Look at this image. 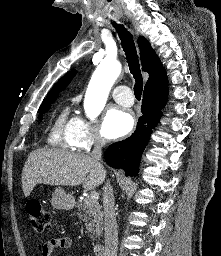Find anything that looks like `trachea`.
I'll use <instances>...</instances> for the list:
<instances>
[{"label": "trachea", "mask_w": 221, "mask_h": 256, "mask_svg": "<svg viewBox=\"0 0 221 256\" xmlns=\"http://www.w3.org/2000/svg\"><path fill=\"white\" fill-rule=\"evenodd\" d=\"M121 40L122 48L125 52L126 59L129 65V70L135 79L134 94L137 100L141 99L143 91V79L140 70V64L132 35L123 25L113 23Z\"/></svg>", "instance_id": "obj_1"}]
</instances>
